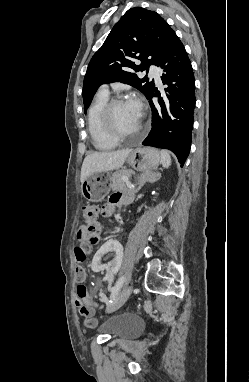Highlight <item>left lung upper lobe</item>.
Returning a JSON list of instances; mask_svg holds the SVG:
<instances>
[{"mask_svg": "<svg viewBox=\"0 0 249 382\" xmlns=\"http://www.w3.org/2000/svg\"><path fill=\"white\" fill-rule=\"evenodd\" d=\"M177 35L156 12L141 7L129 9L115 24L102 47L92 57L83 83L84 111L101 84L120 81L146 97L154 89L153 81L135 74L149 70L170 53ZM141 60L140 65L135 61Z\"/></svg>", "mask_w": 249, "mask_h": 382, "instance_id": "5c2ea615", "label": "left lung upper lobe"}]
</instances>
